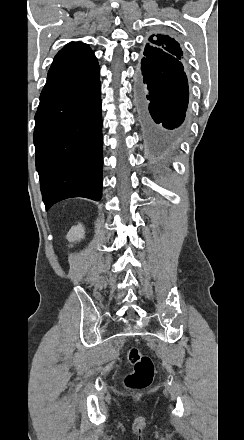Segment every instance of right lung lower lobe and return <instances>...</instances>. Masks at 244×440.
Instances as JSON below:
<instances>
[{"mask_svg": "<svg viewBox=\"0 0 244 440\" xmlns=\"http://www.w3.org/2000/svg\"><path fill=\"white\" fill-rule=\"evenodd\" d=\"M98 62L50 71L35 115L36 169L48 210L66 198L102 195V115Z\"/></svg>", "mask_w": 244, "mask_h": 440, "instance_id": "right-lung-lower-lobe-1", "label": "right lung lower lobe"}]
</instances>
